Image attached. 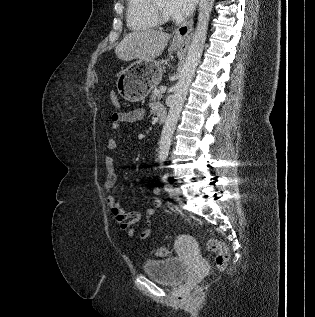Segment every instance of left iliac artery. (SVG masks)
<instances>
[{
    "label": "left iliac artery",
    "mask_w": 315,
    "mask_h": 317,
    "mask_svg": "<svg viewBox=\"0 0 315 317\" xmlns=\"http://www.w3.org/2000/svg\"><path fill=\"white\" fill-rule=\"evenodd\" d=\"M165 190H166L167 192H170V191H171L170 185H166V186H165Z\"/></svg>",
    "instance_id": "44dca946"
}]
</instances>
